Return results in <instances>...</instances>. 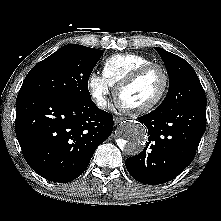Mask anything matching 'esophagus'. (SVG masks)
Returning a JSON list of instances; mask_svg holds the SVG:
<instances>
[{
    "label": "esophagus",
    "mask_w": 221,
    "mask_h": 221,
    "mask_svg": "<svg viewBox=\"0 0 221 221\" xmlns=\"http://www.w3.org/2000/svg\"><path fill=\"white\" fill-rule=\"evenodd\" d=\"M125 118L121 116H115L114 117V123L115 125L119 124L121 121H123Z\"/></svg>",
    "instance_id": "1"
}]
</instances>
